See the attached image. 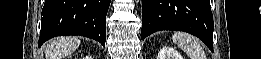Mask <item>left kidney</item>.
Instances as JSON below:
<instances>
[{"label": "left kidney", "instance_id": "left-kidney-1", "mask_svg": "<svg viewBox=\"0 0 261 59\" xmlns=\"http://www.w3.org/2000/svg\"><path fill=\"white\" fill-rule=\"evenodd\" d=\"M157 59H183V57L175 49L165 46L160 49Z\"/></svg>", "mask_w": 261, "mask_h": 59}]
</instances>
